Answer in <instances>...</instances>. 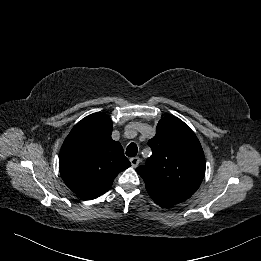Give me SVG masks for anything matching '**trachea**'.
I'll return each instance as SVG.
<instances>
[{
    "label": "trachea",
    "instance_id": "3493384b",
    "mask_svg": "<svg viewBox=\"0 0 261 261\" xmlns=\"http://www.w3.org/2000/svg\"><path fill=\"white\" fill-rule=\"evenodd\" d=\"M138 152V147L135 143H130L126 149V155L128 157H135Z\"/></svg>",
    "mask_w": 261,
    "mask_h": 261
}]
</instances>
